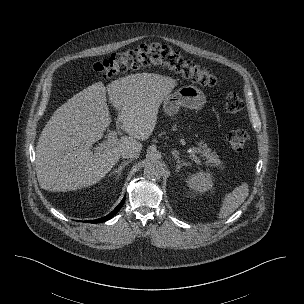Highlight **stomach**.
Segmentation results:
<instances>
[{
  "instance_id": "1",
  "label": "stomach",
  "mask_w": 304,
  "mask_h": 304,
  "mask_svg": "<svg viewBox=\"0 0 304 304\" xmlns=\"http://www.w3.org/2000/svg\"><path fill=\"white\" fill-rule=\"evenodd\" d=\"M205 102L206 97L199 88L187 85L164 98L163 110L165 114L174 116L179 112L180 107L198 110L203 107Z\"/></svg>"
}]
</instances>
